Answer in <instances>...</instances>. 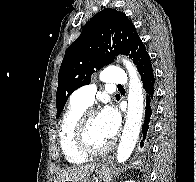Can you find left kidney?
<instances>
[{"label":"left kidney","mask_w":196,"mask_h":182,"mask_svg":"<svg viewBox=\"0 0 196 182\" xmlns=\"http://www.w3.org/2000/svg\"><path fill=\"white\" fill-rule=\"evenodd\" d=\"M125 182H134V181L130 180V181H125Z\"/></svg>","instance_id":"5707ae66"}]
</instances>
